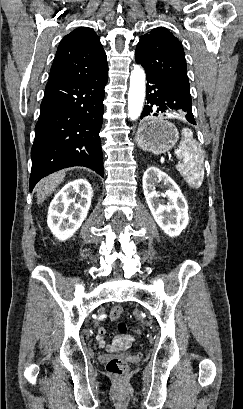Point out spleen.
<instances>
[{
	"mask_svg": "<svg viewBox=\"0 0 243 409\" xmlns=\"http://www.w3.org/2000/svg\"><path fill=\"white\" fill-rule=\"evenodd\" d=\"M182 140L175 154L183 161L177 165V170L192 188H199L204 179L203 157L193 132L188 128L182 129Z\"/></svg>",
	"mask_w": 243,
	"mask_h": 409,
	"instance_id": "obj_1",
	"label": "spleen"
}]
</instances>
